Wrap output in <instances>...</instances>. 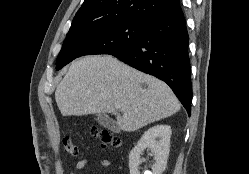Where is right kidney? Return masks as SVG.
<instances>
[{
    "instance_id": "1",
    "label": "right kidney",
    "mask_w": 249,
    "mask_h": 174,
    "mask_svg": "<svg viewBox=\"0 0 249 174\" xmlns=\"http://www.w3.org/2000/svg\"><path fill=\"white\" fill-rule=\"evenodd\" d=\"M170 137L171 128L168 125H156L148 129L129 154L130 174H140V155L146 148H150L154 155L155 163L151 167L152 174H162L167 166Z\"/></svg>"
}]
</instances>
